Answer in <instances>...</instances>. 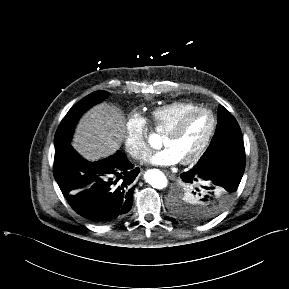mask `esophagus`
I'll return each instance as SVG.
<instances>
[{"instance_id":"1","label":"esophagus","mask_w":289,"mask_h":289,"mask_svg":"<svg viewBox=\"0 0 289 289\" xmlns=\"http://www.w3.org/2000/svg\"><path fill=\"white\" fill-rule=\"evenodd\" d=\"M166 174L170 179H174V176L172 174H170L169 172H167Z\"/></svg>"}]
</instances>
